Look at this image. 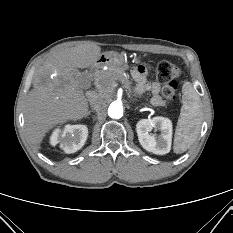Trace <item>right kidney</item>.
I'll list each match as a JSON object with an SVG mask.
<instances>
[{"instance_id":"obj_1","label":"right kidney","mask_w":233,"mask_h":233,"mask_svg":"<svg viewBox=\"0 0 233 233\" xmlns=\"http://www.w3.org/2000/svg\"><path fill=\"white\" fill-rule=\"evenodd\" d=\"M88 137V128L85 125H66L61 131L54 130L50 137L52 146L60 143V148L67 154L75 153L85 144Z\"/></svg>"}]
</instances>
